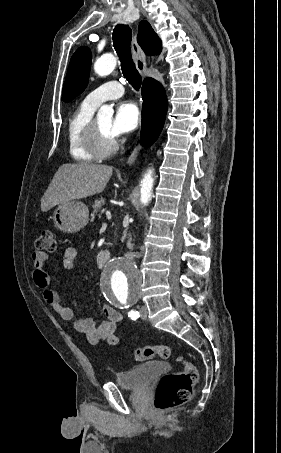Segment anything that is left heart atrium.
<instances>
[{
  "mask_svg": "<svg viewBox=\"0 0 281 453\" xmlns=\"http://www.w3.org/2000/svg\"><path fill=\"white\" fill-rule=\"evenodd\" d=\"M141 120L139 108L130 101L118 104L111 123L110 132L113 137L135 130Z\"/></svg>",
  "mask_w": 281,
  "mask_h": 453,
  "instance_id": "1",
  "label": "left heart atrium"
}]
</instances>
